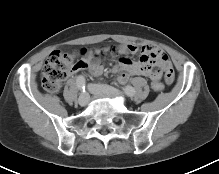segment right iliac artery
Instances as JSON below:
<instances>
[{"instance_id":"right-iliac-artery-1","label":"right iliac artery","mask_w":219,"mask_h":174,"mask_svg":"<svg viewBox=\"0 0 219 174\" xmlns=\"http://www.w3.org/2000/svg\"><path fill=\"white\" fill-rule=\"evenodd\" d=\"M77 88L85 92L86 82L84 76H78L76 80Z\"/></svg>"}]
</instances>
